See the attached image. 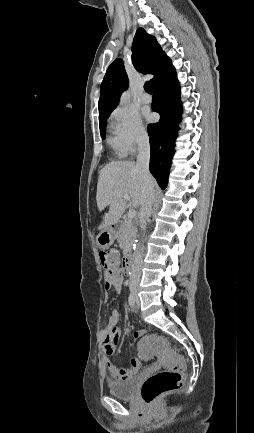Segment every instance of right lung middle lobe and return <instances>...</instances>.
<instances>
[{"label": "right lung middle lobe", "instance_id": "dd1d6c3e", "mask_svg": "<svg viewBox=\"0 0 254 433\" xmlns=\"http://www.w3.org/2000/svg\"><path fill=\"white\" fill-rule=\"evenodd\" d=\"M106 124H107V119H105L104 121L100 122V134H101L102 138L105 137Z\"/></svg>", "mask_w": 254, "mask_h": 433}]
</instances>
